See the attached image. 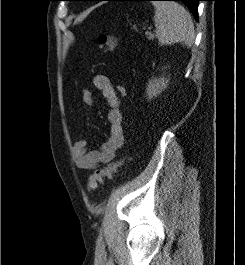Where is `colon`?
I'll use <instances>...</instances> for the list:
<instances>
[{
	"label": "colon",
	"instance_id": "5ec220e1",
	"mask_svg": "<svg viewBox=\"0 0 245 265\" xmlns=\"http://www.w3.org/2000/svg\"><path fill=\"white\" fill-rule=\"evenodd\" d=\"M97 45L102 51H112L117 45V38L112 35L101 34L98 37ZM118 90L123 96L127 94V88L124 85H120ZM121 163L122 160L112 161L106 164L103 168L96 170L88 180V190L91 192L96 191L106 177L112 176L117 171Z\"/></svg>",
	"mask_w": 245,
	"mask_h": 265
}]
</instances>
